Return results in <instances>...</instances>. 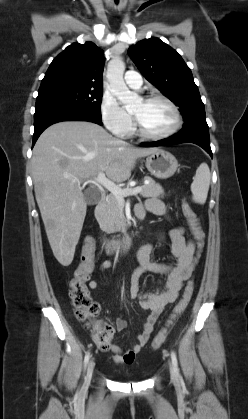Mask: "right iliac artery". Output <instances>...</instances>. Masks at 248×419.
<instances>
[{
  "label": "right iliac artery",
  "instance_id": "1",
  "mask_svg": "<svg viewBox=\"0 0 248 419\" xmlns=\"http://www.w3.org/2000/svg\"><path fill=\"white\" fill-rule=\"evenodd\" d=\"M89 358H90V353L88 352V353H86L85 358H84V367L85 368L88 364Z\"/></svg>",
  "mask_w": 248,
  "mask_h": 419
}]
</instances>
